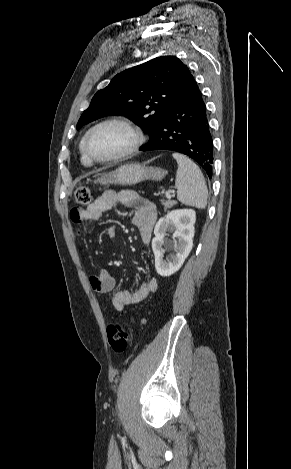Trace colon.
Masks as SVG:
<instances>
[{
  "instance_id": "colon-1",
  "label": "colon",
  "mask_w": 291,
  "mask_h": 469,
  "mask_svg": "<svg viewBox=\"0 0 291 469\" xmlns=\"http://www.w3.org/2000/svg\"><path fill=\"white\" fill-rule=\"evenodd\" d=\"M75 202L79 205H88L91 202V192L86 186H78L74 192ZM79 208L73 209L72 213L75 214ZM107 340L110 347L115 352H124L130 341V336L125 327L116 322L107 327Z\"/></svg>"
}]
</instances>
